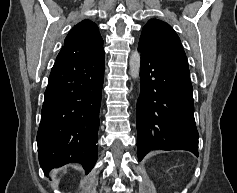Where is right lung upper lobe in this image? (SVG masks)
Listing matches in <instances>:
<instances>
[{
  "mask_svg": "<svg viewBox=\"0 0 237 193\" xmlns=\"http://www.w3.org/2000/svg\"><path fill=\"white\" fill-rule=\"evenodd\" d=\"M62 53L79 58H96L104 55L103 39L97 25L85 19L68 33Z\"/></svg>",
  "mask_w": 237,
  "mask_h": 193,
  "instance_id": "obj_1",
  "label": "right lung upper lobe"
}]
</instances>
